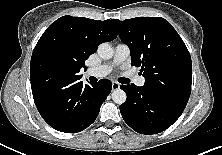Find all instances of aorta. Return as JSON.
<instances>
[{
    "instance_id": "aorta-1",
    "label": "aorta",
    "mask_w": 222,
    "mask_h": 155,
    "mask_svg": "<svg viewBox=\"0 0 222 155\" xmlns=\"http://www.w3.org/2000/svg\"><path fill=\"white\" fill-rule=\"evenodd\" d=\"M98 54L103 59L113 57L114 49L108 42L101 43L98 47ZM127 95L122 89H116L112 93V100L117 104H123L126 101Z\"/></svg>"
}]
</instances>
